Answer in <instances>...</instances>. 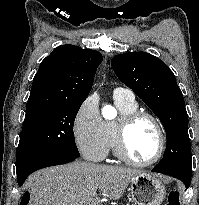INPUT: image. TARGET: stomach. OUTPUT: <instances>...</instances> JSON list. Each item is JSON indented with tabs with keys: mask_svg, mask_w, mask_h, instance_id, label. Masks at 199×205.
<instances>
[{
	"mask_svg": "<svg viewBox=\"0 0 199 205\" xmlns=\"http://www.w3.org/2000/svg\"><path fill=\"white\" fill-rule=\"evenodd\" d=\"M129 195L135 205H161L166 196V188L154 176L140 173L132 178Z\"/></svg>",
	"mask_w": 199,
	"mask_h": 205,
	"instance_id": "stomach-1",
	"label": "stomach"
}]
</instances>
